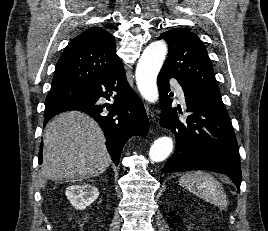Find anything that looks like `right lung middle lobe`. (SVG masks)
<instances>
[{
    "instance_id": "1",
    "label": "right lung middle lobe",
    "mask_w": 268,
    "mask_h": 231,
    "mask_svg": "<svg viewBox=\"0 0 268 231\" xmlns=\"http://www.w3.org/2000/svg\"><path fill=\"white\" fill-rule=\"evenodd\" d=\"M86 95V88L79 86H51L45 105L62 103Z\"/></svg>"
}]
</instances>
